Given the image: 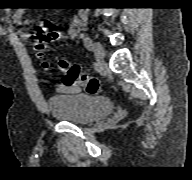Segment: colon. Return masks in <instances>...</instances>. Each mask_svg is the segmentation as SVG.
Wrapping results in <instances>:
<instances>
[{
	"label": "colon",
	"mask_w": 192,
	"mask_h": 180,
	"mask_svg": "<svg viewBox=\"0 0 192 180\" xmlns=\"http://www.w3.org/2000/svg\"><path fill=\"white\" fill-rule=\"evenodd\" d=\"M60 34L57 31H42L34 35L33 50L38 58L42 59L48 44L58 40ZM44 68L48 67L46 61L42 62ZM59 68L63 73V82L66 85L82 87L89 95H96L102 91V83L99 79L88 75L79 65L65 60L59 61Z\"/></svg>",
	"instance_id": "1"
}]
</instances>
